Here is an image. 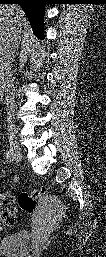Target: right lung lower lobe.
Masks as SVG:
<instances>
[{"instance_id": "right-lung-lower-lobe-1", "label": "right lung lower lobe", "mask_w": 106, "mask_h": 257, "mask_svg": "<svg viewBox=\"0 0 106 257\" xmlns=\"http://www.w3.org/2000/svg\"><path fill=\"white\" fill-rule=\"evenodd\" d=\"M1 4H19L28 17L34 33L43 38V13L45 0H0Z\"/></svg>"}]
</instances>
